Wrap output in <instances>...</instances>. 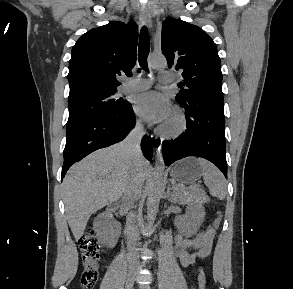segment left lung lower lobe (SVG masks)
Returning <instances> with one entry per match:
<instances>
[{
	"label": "left lung lower lobe",
	"instance_id": "left-lung-lower-lobe-1",
	"mask_svg": "<svg viewBox=\"0 0 293 289\" xmlns=\"http://www.w3.org/2000/svg\"><path fill=\"white\" fill-rule=\"evenodd\" d=\"M180 105L186 112L187 129L175 140L162 143L166 165L199 156L215 164L227 178L223 105L204 99Z\"/></svg>",
	"mask_w": 293,
	"mask_h": 289
}]
</instances>
